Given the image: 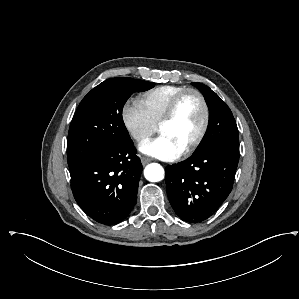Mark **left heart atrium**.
<instances>
[{"instance_id": "39dd6f15", "label": "left heart atrium", "mask_w": 299, "mask_h": 299, "mask_svg": "<svg viewBox=\"0 0 299 299\" xmlns=\"http://www.w3.org/2000/svg\"><path fill=\"white\" fill-rule=\"evenodd\" d=\"M140 151L146 155L157 157L163 160H173L178 158L183 149L173 143L168 137L160 135L153 140L142 143Z\"/></svg>"}]
</instances>
